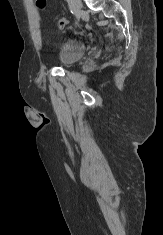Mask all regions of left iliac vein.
Here are the masks:
<instances>
[{"label":"left iliac vein","mask_w":163,"mask_h":235,"mask_svg":"<svg viewBox=\"0 0 163 235\" xmlns=\"http://www.w3.org/2000/svg\"><path fill=\"white\" fill-rule=\"evenodd\" d=\"M71 3H72L74 9H75L77 12H79V11L81 10V8H82V2H81V0H71Z\"/></svg>","instance_id":"4c4485c4"}]
</instances>
